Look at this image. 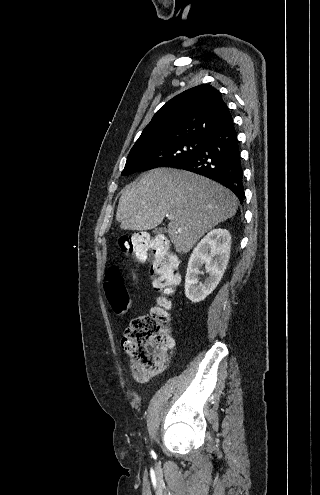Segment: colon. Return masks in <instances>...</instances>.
Here are the masks:
<instances>
[{
  "mask_svg": "<svg viewBox=\"0 0 320 495\" xmlns=\"http://www.w3.org/2000/svg\"><path fill=\"white\" fill-rule=\"evenodd\" d=\"M119 247L137 262L151 263V277L155 290L170 294L179 282L178 262L163 237H151L146 232L124 235ZM106 298L116 314H124L130 306V297L117 266L106 272L104 282ZM171 303L167 298L159 300V306L149 314L139 316L130 322L124 331L121 345L130 358L134 379L144 382L164 370L172 346L165 330Z\"/></svg>",
  "mask_w": 320,
  "mask_h": 495,
  "instance_id": "5ec220e1",
  "label": "colon"
}]
</instances>
